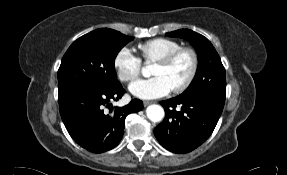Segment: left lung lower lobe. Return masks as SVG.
<instances>
[{
	"instance_id": "obj_1",
	"label": "left lung lower lobe",
	"mask_w": 287,
	"mask_h": 175,
	"mask_svg": "<svg viewBox=\"0 0 287 175\" xmlns=\"http://www.w3.org/2000/svg\"><path fill=\"white\" fill-rule=\"evenodd\" d=\"M164 120L154 129L159 143L173 153H187L212 134L224 101L205 95H179L160 102Z\"/></svg>"
}]
</instances>
